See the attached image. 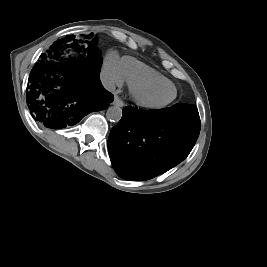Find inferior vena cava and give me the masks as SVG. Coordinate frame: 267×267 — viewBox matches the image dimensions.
<instances>
[{
    "mask_svg": "<svg viewBox=\"0 0 267 267\" xmlns=\"http://www.w3.org/2000/svg\"><path fill=\"white\" fill-rule=\"evenodd\" d=\"M100 80L102 82V85L104 88L108 91H114L115 90V83L114 81L105 73H102L100 75Z\"/></svg>",
    "mask_w": 267,
    "mask_h": 267,
    "instance_id": "obj_1",
    "label": "inferior vena cava"
}]
</instances>
